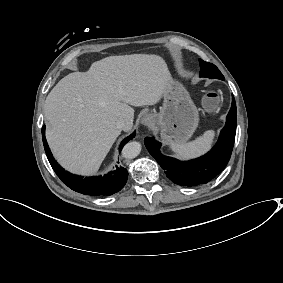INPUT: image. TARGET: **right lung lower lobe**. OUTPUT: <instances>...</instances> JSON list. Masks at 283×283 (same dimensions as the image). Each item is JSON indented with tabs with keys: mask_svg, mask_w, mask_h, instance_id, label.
<instances>
[{
	"mask_svg": "<svg viewBox=\"0 0 283 283\" xmlns=\"http://www.w3.org/2000/svg\"><path fill=\"white\" fill-rule=\"evenodd\" d=\"M135 136V133L124 139L120 145L119 152L123 146ZM42 138L47 158L57 176L72 190L91 196L112 195L120 191L127 182L128 172L123 167L116 165V170L104 176H82L71 174L65 171L53 158L45 138V126L42 128Z\"/></svg>",
	"mask_w": 283,
	"mask_h": 283,
	"instance_id": "98d812e1",
	"label": "right lung lower lobe"
}]
</instances>
